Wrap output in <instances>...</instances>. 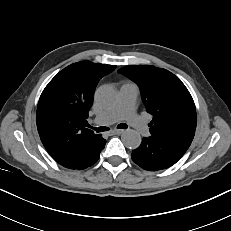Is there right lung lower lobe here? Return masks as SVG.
<instances>
[{
  "label": "right lung lower lobe",
  "mask_w": 231,
  "mask_h": 231,
  "mask_svg": "<svg viewBox=\"0 0 231 231\" xmlns=\"http://www.w3.org/2000/svg\"><path fill=\"white\" fill-rule=\"evenodd\" d=\"M105 143V139L100 135L97 139L87 143L85 146L68 155L65 159L57 162L69 169H85L97 162Z\"/></svg>",
  "instance_id": "right-lung-lower-lobe-1"
}]
</instances>
